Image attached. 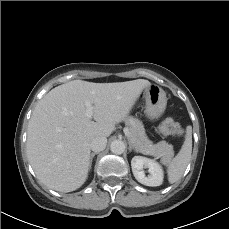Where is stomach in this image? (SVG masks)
Wrapping results in <instances>:
<instances>
[{
    "label": "stomach",
    "instance_id": "0dacf381",
    "mask_svg": "<svg viewBox=\"0 0 229 229\" xmlns=\"http://www.w3.org/2000/svg\"><path fill=\"white\" fill-rule=\"evenodd\" d=\"M145 100L144 113L150 120L158 119L165 111L167 97L165 91L155 84H150L142 91Z\"/></svg>",
    "mask_w": 229,
    "mask_h": 229
}]
</instances>
